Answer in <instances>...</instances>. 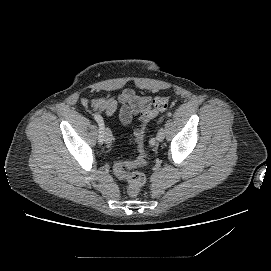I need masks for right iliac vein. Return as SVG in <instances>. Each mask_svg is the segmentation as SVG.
<instances>
[{"mask_svg":"<svg viewBox=\"0 0 271 271\" xmlns=\"http://www.w3.org/2000/svg\"><path fill=\"white\" fill-rule=\"evenodd\" d=\"M103 138H104V141L106 144H110L112 141L111 131L107 127H104V137Z\"/></svg>","mask_w":271,"mask_h":271,"instance_id":"1","label":"right iliac vein"}]
</instances>
